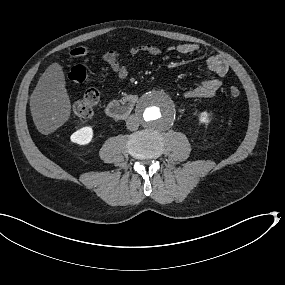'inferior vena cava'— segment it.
I'll use <instances>...</instances> for the list:
<instances>
[{"mask_svg":"<svg viewBox=\"0 0 285 285\" xmlns=\"http://www.w3.org/2000/svg\"><path fill=\"white\" fill-rule=\"evenodd\" d=\"M126 126H127V129H129V130H131V131L137 130L138 127H139V120H138V117H137L136 115H130V116L127 118Z\"/></svg>","mask_w":285,"mask_h":285,"instance_id":"1","label":"inferior vena cava"}]
</instances>
